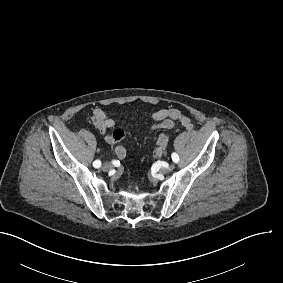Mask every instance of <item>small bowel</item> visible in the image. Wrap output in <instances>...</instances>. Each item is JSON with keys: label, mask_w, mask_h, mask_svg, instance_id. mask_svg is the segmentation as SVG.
I'll return each instance as SVG.
<instances>
[{"label": "small bowel", "mask_w": 283, "mask_h": 283, "mask_svg": "<svg viewBox=\"0 0 283 283\" xmlns=\"http://www.w3.org/2000/svg\"><path fill=\"white\" fill-rule=\"evenodd\" d=\"M151 120L152 124L150 126V131H156L159 129H172L178 123L183 125L188 130L193 128L190 118L175 108L158 110L152 114ZM91 122L102 134L106 133L107 130L117 126V122L99 107L93 109ZM163 134L164 133L161 135ZM124 138L125 132L121 128H115L112 133L105 136V141L109 145L116 146L115 153L121 160L126 157V149L124 146L119 145L118 143Z\"/></svg>", "instance_id": "small-bowel-1"}]
</instances>
